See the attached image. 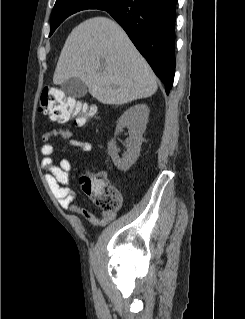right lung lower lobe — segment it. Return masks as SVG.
<instances>
[{
    "instance_id": "1",
    "label": "right lung lower lobe",
    "mask_w": 245,
    "mask_h": 319,
    "mask_svg": "<svg viewBox=\"0 0 245 319\" xmlns=\"http://www.w3.org/2000/svg\"><path fill=\"white\" fill-rule=\"evenodd\" d=\"M177 0H123L103 9L126 31L170 92L175 74Z\"/></svg>"
}]
</instances>
